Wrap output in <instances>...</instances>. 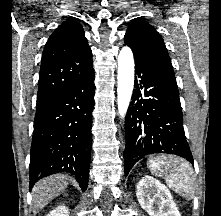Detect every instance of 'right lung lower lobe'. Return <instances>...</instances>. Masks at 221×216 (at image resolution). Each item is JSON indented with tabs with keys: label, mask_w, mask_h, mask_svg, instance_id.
Instances as JSON below:
<instances>
[{
	"label": "right lung lower lobe",
	"mask_w": 221,
	"mask_h": 216,
	"mask_svg": "<svg viewBox=\"0 0 221 216\" xmlns=\"http://www.w3.org/2000/svg\"><path fill=\"white\" fill-rule=\"evenodd\" d=\"M94 73L36 107L29 189L41 178L69 172L85 191L89 178Z\"/></svg>",
	"instance_id": "1"
}]
</instances>
